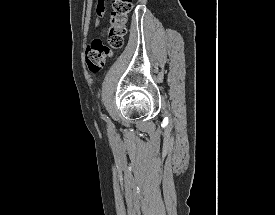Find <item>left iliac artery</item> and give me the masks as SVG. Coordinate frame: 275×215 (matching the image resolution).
Returning <instances> with one entry per match:
<instances>
[{
    "label": "left iliac artery",
    "mask_w": 275,
    "mask_h": 215,
    "mask_svg": "<svg viewBox=\"0 0 275 215\" xmlns=\"http://www.w3.org/2000/svg\"><path fill=\"white\" fill-rule=\"evenodd\" d=\"M101 118L106 120V121L108 120V117L105 114H102V113H101Z\"/></svg>",
    "instance_id": "1"
}]
</instances>
